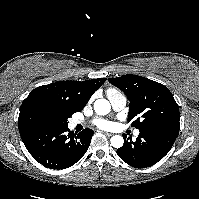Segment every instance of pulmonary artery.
<instances>
[{"label": "pulmonary artery", "instance_id": "pulmonary-artery-1", "mask_svg": "<svg viewBox=\"0 0 199 199\" xmlns=\"http://www.w3.org/2000/svg\"><path fill=\"white\" fill-rule=\"evenodd\" d=\"M114 95V96H112ZM108 96L113 104V106L116 108V109H121L124 104H125V100L124 98H118V96H115V93L114 92H109L108 93ZM120 99V100H119ZM136 134H138V132H136Z\"/></svg>", "mask_w": 199, "mask_h": 199}]
</instances>
